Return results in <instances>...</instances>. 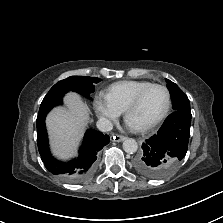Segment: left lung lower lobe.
I'll return each instance as SVG.
<instances>
[{
  "instance_id": "1",
  "label": "left lung lower lobe",
  "mask_w": 223,
  "mask_h": 223,
  "mask_svg": "<svg viewBox=\"0 0 223 223\" xmlns=\"http://www.w3.org/2000/svg\"><path fill=\"white\" fill-rule=\"evenodd\" d=\"M191 117L185 111L171 113L157 134L142 144V152L133 162L136 171L152 179L171 174L186 155Z\"/></svg>"
}]
</instances>
